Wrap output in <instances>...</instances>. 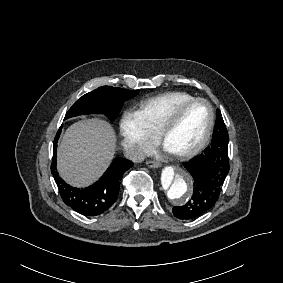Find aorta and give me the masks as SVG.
Here are the masks:
<instances>
[{
    "label": "aorta",
    "instance_id": "1",
    "mask_svg": "<svg viewBox=\"0 0 283 283\" xmlns=\"http://www.w3.org/2000/svg\"><path fill=\"white\" fill-rule=\"evenodd\" d=\"M159 190L163 198L176 205H183L190 200L193 192L192 177L182 167L167 166L162 170Z\"/></svg>",
    "mask_w": 283,
    "mask_h": 283
}]
</instances>
